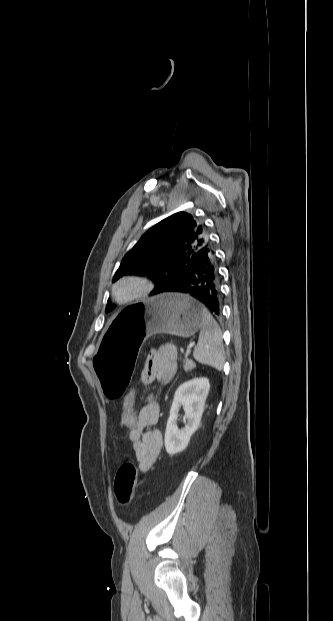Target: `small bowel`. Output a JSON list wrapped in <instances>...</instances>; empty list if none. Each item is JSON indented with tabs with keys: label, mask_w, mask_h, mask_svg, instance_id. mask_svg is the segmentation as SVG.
<instances>
[{
	"label": "small bowel",
	"mask_w": 333,
	"mask_h": 621,
	"mask_svg": "<svg viewBox=\"0 0 333 621\" xmlns=\"http://www.w3.org/2000/svg\"><path fill=\"white\" fill-rule=\"evenodd\" d=\"M178 368L177 354L174 347L166 345L152 350L148 354L142 380L145 384L157 380L161 384H169L175 377ZM160 414V407L153 396L139 410L138 419L129 428V441L135 453L141 472L150 470L157 460L163 445L162 433L153 429Z\"/></svg>",
	"instance_id": "c3829d8e"
}]
</instances>
